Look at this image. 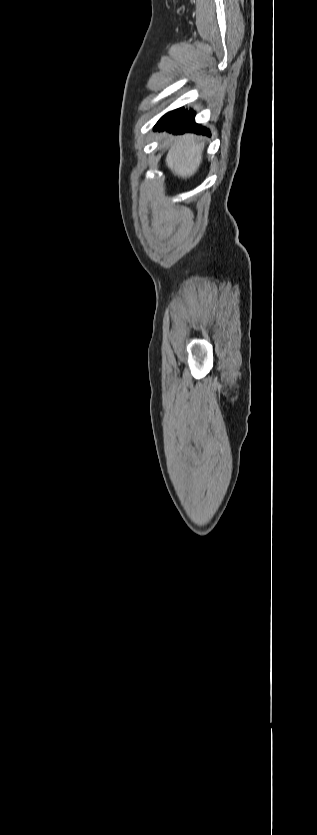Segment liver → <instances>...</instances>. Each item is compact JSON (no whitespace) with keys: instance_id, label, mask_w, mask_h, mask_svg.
Segmentation results:
<instances>
[{"instance_id":"1","label":"liver","mask_w":317,"mask_h":835,"mask_svg":"<svg viewBox=\"0 0 317 835\" xmlns=\"http://www.w3.org/2000/svg\"><path fill=\"white\" fill-rule=\"evenodd\" d=\"M167 135V133L163 134L161 138L164 139ZM204 146L203 142H195L194 134L177 136L168 151L166 165L175 176L183 179L190 178L197 172L202 162Z\"/></svg>"}]
</instances>
